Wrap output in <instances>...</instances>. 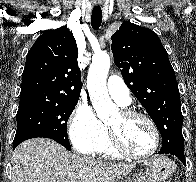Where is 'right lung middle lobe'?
<instances>
[{"label":"right lung middle lobe","instance_id":"1","mask_svg":"<svg viewBox=\"0 0 196 182\" xmlns=\"http://www.w3.org/2000/svg\"><path fill=\"white\" fill-rule=\"evenodd\" d=\"M77 102L78 100L34 102L19 106L13 146L30 138L45 137L71 150L66 127Z\"/></svg>","mask_w":196,"mask_h":182}]
</instances>
